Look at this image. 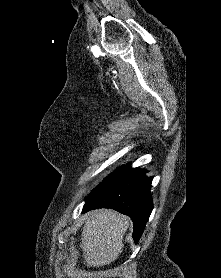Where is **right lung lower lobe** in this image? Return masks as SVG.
I'll use <instances>...</instances> for the list:
<instances>
[{
	"mask_svg": "<svg viewBox=\"0 0 221 278\" xmlns=\"http://www.w3.org/2000/svg\"><path fill=\"white\" fill-rule=\"evenodd\" d=\"M147 170L127 166L99 184L86 198L83 212L111 208L133 221V239L137 243L152 212L150 193L153 177Z\"/></svg>",
	"mask_w": 221,
	"mask_h": 278,
	"instance_id": "1",
	"label": "right lung lower lobe"
}]
</instances>
